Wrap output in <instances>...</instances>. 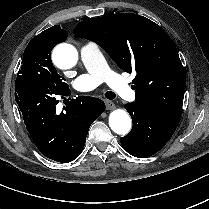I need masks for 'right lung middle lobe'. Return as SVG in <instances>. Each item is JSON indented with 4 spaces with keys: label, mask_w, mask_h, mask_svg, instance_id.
Returning a JSON list of instances; mask_svg holds the SVG:
<instances>
[{
    "label": "right lung middle lobe",
    "mask_w": 209,
    "mask_h": 209,
    "mask_svg": "<svg viewBox=\"0 0 209 209\" xmlns=\"http://www.w3.org/2000/svg\"><path fill=\"white\" fill-rule=\"evenodd\" d=\"M55 44L50 33L44 32L34 37L24 51L16 81L26 79L58 93L68 89L65 79L57 73L51 61L50 52Z\"/></svg>",
    "instance_id": "dd1d6c3e"
}]
</instances>
